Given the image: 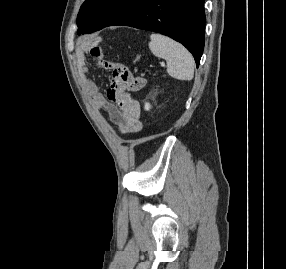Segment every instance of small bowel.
I'll return each instance as SVG.
<instances>
[{
    "instance_id": "obj_1",
    "label": "small bowel",
    "mask_w": 286,
    "mask_h": 269,
    "mask_svg": "<svg viewBox=\"0 0 286 269\" xmlns=\"http://www.w3.org/2000/svg\"><path fill=\"white\" fill-rule=\"evenodd\" d=\"M95 46H97V49H95ZM86 51H89L90 55L105 69L113 70L116 63L106 61L101 47L96 43L83 46L77 55L79 73L83 78V85L94 110L97 113H100L102 110L106 111L110 121L117 126L116 133L118 135L140 131L142 127L141 110H124L125 95L118 93L112 84L107 91V98L101 94L98 84L89 77V67L85 62ZM134 78L143 77L136 76ZM144 85L145 83H143V87Z\"/></svg>"
}]
</instances>
